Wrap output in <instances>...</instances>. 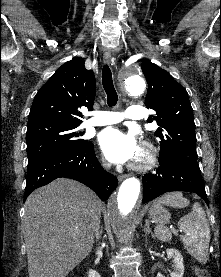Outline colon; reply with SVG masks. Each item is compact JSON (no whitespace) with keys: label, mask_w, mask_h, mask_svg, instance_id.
<instances>
[{"label":"colon","mask_w":221,"mask_h":277,"mask_svg":"<svg viewBox=\"0 0 221 277\" xmlns=\"http://www.w3.org/2000/svg\"><path fill=\"white\" fill-rule=\"evenodd\" d=\"M195 272H196V275H197L198 277H208L207 272H206L205 270H203V269L196 268V269H195Z\"/></svg>","instance_id":"colon-1"}]
</instances>
